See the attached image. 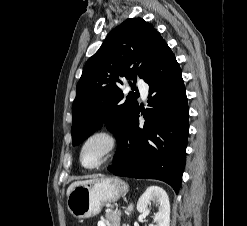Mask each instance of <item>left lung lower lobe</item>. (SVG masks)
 Masks as SVG:
<instances>
[{
  "label": "left lung lower lobe",
  "instance_id": "1",
  "mask_svg": "<svg viewBox=\"0 0 247 226\" xmlns=\"http://www.w3.org/2000/svg\"><path fill=\"white\" fill-rule=\"evenodd\" d=\"M149 100L139 126L140 108L121 129L109 172L124 177L157 179L179 192L186 161L189 110L182 71L166 44L144 77Z\"/></svg>",
  "mask_w": 247,
  "mask_h": 226
}]
</instances>
